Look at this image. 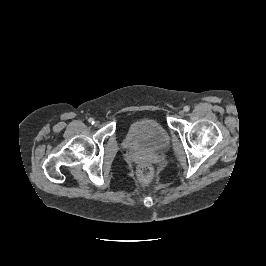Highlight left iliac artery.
<instances>
[{"instance_id": "1", "label": "left iliac artery", "mask_w": 266, "mask_h": 266, "mask_svg": "<svg viewBox=\"0 0 266 266\" xmlns=\"http://www.w3.org/2000/svg\"><path fill=\"white\" fill-rule=\"evenodd\" d=\"M189 110H190V107H189V106H185V107H184V111H185V112H188Z\"/></svg>"}]
</instances>
